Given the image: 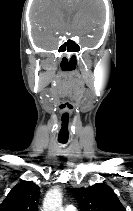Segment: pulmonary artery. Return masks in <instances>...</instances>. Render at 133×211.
<instances>
[{"label": "pulmonary artery", "instance_id": "obj_1", "mask_svg": "<svg viewBox=\"0 0 133 211\" xmlns=\"http://www.w3.org/2000/svg\"><path fill=\"white\" fill-rule=\"evenodd\" d=\"M64 211H77L76 208L73 205H67L64 208Z\"/></svg>", "mask_w": 133, "mask_h": 211}]
</instances>
